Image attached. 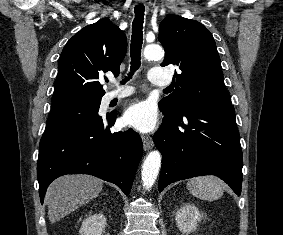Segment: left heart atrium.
I'll list each match as a JSON object with an SVG mask.
<instances>
[{
  "instance_id": "left-heart-atrium-1",
  "label": "left heart atrium",
  "mask_w": 283,
  "mask_h": 235,
  "mask_svg": "<svg viewBox=\"0 0 283 235\" xmlns=\"http://www.w3.org/2000/svg\"><path fill=\"white\" fill-rule=\"evenodd\" d=\"M123 120L138 131L150 132L156 126V110L148 102H138L126 110Z\"/></svg>"
}]
</instances>
